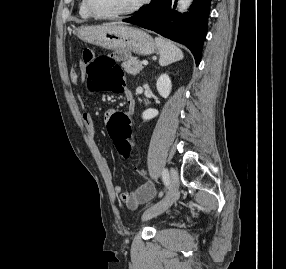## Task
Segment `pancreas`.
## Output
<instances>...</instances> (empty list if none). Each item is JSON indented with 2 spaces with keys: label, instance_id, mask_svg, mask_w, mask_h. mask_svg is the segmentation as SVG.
Listing matches in <instances>:
<instances>
[{
  "label": "pancreas",
  "instance_id": "1",
  "mask_svg": "<svg viewBox=\"0 0 286 269\" xmlns=\"http://www.w3.org/2000/svg\"><path fill=\"white\" fill-rule=\"evenodd\" d=\"M122 67L131 75H137L143 69L142 62L136 58H130L124 61Z\"/></svg>",
  "mask_w": 286,
  "mask_h": 269
}]
</instances>
